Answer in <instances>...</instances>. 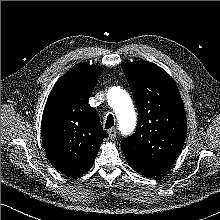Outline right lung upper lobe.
Instances as JSON below:
<instances>
[{"label":"right lung upper lobe","instance_id":"right-lung-upper-lobe-1","mask_svg":"<svg viewBox=\"0 0 220 220\" xmlns=\"http://www.w3.org/2000/svg\"><path fill=\"white\" fill-rule=\"evenodd\" d=\"M102 70L88 63L75 65L56 82L44 108L41 136L46 155L56 170L69 177L92 167L108 136L96 109L88 104Z\"/></svg>","mask_w":220,"mask_h":220}]
</instances>
